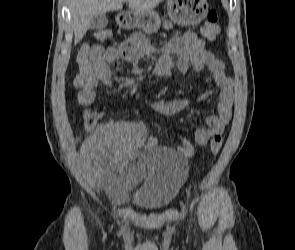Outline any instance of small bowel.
Returning <instances> with one entry per match:
<instances>
[{"label":"small bowel","mask_w":295,"mask_h":250,"mask_svg":"<svg viewBox=\"0 0 295 250\" xmlns=\"http://www.w3.org/2000/svg\"><path fill=\"white\" fill-rule=\"evenodd\" d=\"M166 28H169L166 25ZM143 57H154L153 72L160 77H170L172 70L177 68L186 73L190 69L209 71L208 82L219 90L216 112L206 117L208 128L195 132V142L206 146L212 140L222 141V134L227 128L233 106L232 81L225 74L223 61L216 58L205 48L204 41L194 32H176L160 49H153L141 34H134L117 46L104 48L94 46L87 66H79V73L74 79L78 90L77 98L81 105L90 106L96 100L95 88L99 82L112 85V74L109 64L121 60L134 62ZM210 92L198 96L197 102H204ZM192 101L187 99L158 100L152 104L155 113L169 117L186 110ZM156 144L142 123L117 122L100 126L87 138L81 148L82 171L90 181L103 187L117 198L126 194L145 178V168L139 162L123 168L127 161L134 160L142 148ZM179 151L185 155L193 154V146L183 139Z\"/></svg>","instance_id":"obj_1"}]
</instances>
